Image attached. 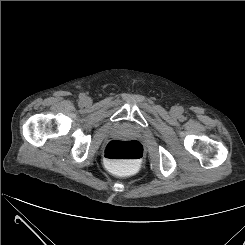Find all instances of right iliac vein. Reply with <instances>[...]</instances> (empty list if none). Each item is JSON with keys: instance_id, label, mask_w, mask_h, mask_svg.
Wrapping results in <instances>:
<instances>
[{"instance_id": "63e3f726", "label": "right iliac vein", "mask_w": 245, "mask_h": 245, "mask_svg": "<svg viewBox=\"0 0 245 245\" xmlns=\"http://www.w3.org/2000/svg\"><path fill=\"white\" fill-rule=\"evenodd\" d=\"M85 101H86V102H88V101H89V99H88V98H86V99H85Z\"/></svg>"}]
</instances>
